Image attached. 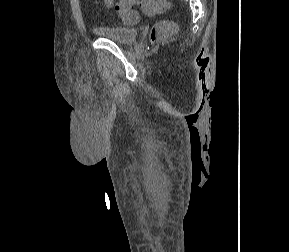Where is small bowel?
Returning a JSON list of instances; mask_svg holds the SVG:
<instances>
[{
  "label": "small bowel",
  "instance_id": "c3829d8e",
  "mask_svg": "<svg viewBox=\"0 0 289 252\" xmlns=\"http://www.w3.org/2000/svg\"><path fill=\"white\" fill-rule=\"evenodd\" d=\"M103 4L106 8H112L115 4V0H103Z\"/></svg>",
  "mask_w": 289,
  "mask_h": 252
}]
</instances>
